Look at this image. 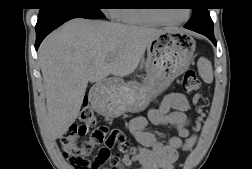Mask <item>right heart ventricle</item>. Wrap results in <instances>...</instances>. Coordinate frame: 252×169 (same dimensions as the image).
<instances>
[{
	"mask_svg": "<svg viewBox=\"0 0 252 169\" xmlns=\"http://www.w3.org/2000/svg\"><path fill=\"white\" fill-rule=\"evenodd\" d=\"M117 20L129 25H154L156 22L150 20L139 9L121 8L117 11Z\"/></svg>",
	"mask_w": 252,
	"mask_h": 169,
	"instance_id": "obj_1",
	"label": "right heart ventricle"
}]
</instances>
